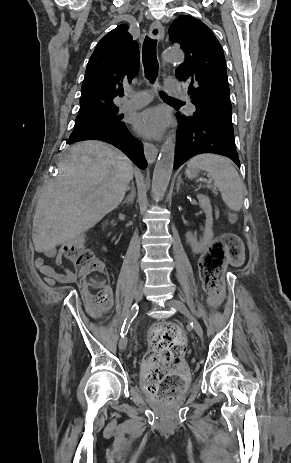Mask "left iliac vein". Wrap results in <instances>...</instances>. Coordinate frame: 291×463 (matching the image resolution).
Listing matches in <instances>:
<instances>
[{
    "label": "left iliac vein",
    "mask_w": 291,
    "mask_h": 463,
    "mask_svg": "<svg viewBox=\"0 0 291 463\" xmlns=\"http://www.w3.org/2000/svg\"><path fill=\"white\" fill-rule=\"evenodd\" d=\"M166 304L172 307L177 308L184 316L188 318V320L192 323L193 329L196 332V334L202 338L203 337V329L198 322V320L191 314L187 306L180 300L178 299H171L166 301Z\"/></svg>",
    "instance_id": "1"
}]
</instances>
